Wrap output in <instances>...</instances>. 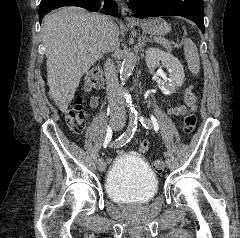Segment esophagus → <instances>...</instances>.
Returning <instances> with one entry per match:
<instances>
[{"label": "esophagus", "instance_id": "1", "mask_svg": "<svg viewBox=\"0 0 240 238\" xmlns=\"http://www.w3.org/2000/svg\"><path fill=\"white\" fill-rule=\"evenodd\" d=\"M121 15L125 20H134L132 11L125 5L121 7Z\"/></svg>", "mask_w": 240, "mask_h": 238}]
</instances>
